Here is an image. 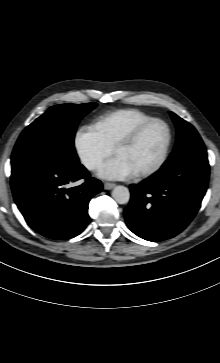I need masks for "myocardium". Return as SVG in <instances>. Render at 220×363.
<instances>
[{"mask_svg": "<svg viewBox=\"0 0 220 363\" xmlns=\"http://www.w3.org/2000/svg\"><path fill=\"white\" fill-rule=\"evenodd\" d=\"M152 124H161L164 126L166 133H167V141H166L165 147L163 149V152H162L159 160L152 167L135 173L134 176L136 178H145V177L151 176V175L157 173L159 170H161L162 167L165 165V163L168 159V156H169V153L171 150V146H172V141H173V133H172V129H171L170 125L161 118H151L147 121H144V122L136 125L129 132H127L126 134L121 136L116 141V143L114 144L113 149H112L113 153H116V151L118 149L132 144L140 136V134L147 127H149Z\"/></svg>", "mask_w": 220, "mask_h": 363, "instance_id": "myocardium-1", "label": "myocardium"}]
</instances>
